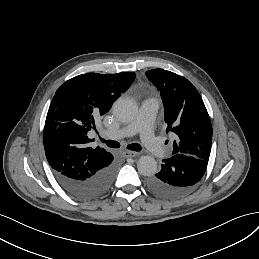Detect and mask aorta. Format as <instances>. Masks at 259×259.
Instances as JSON below:
<instances>
[{"label":"aorta","instance_id":"762f6f07","mask_svg":"<svg viewBox=\"0 0 259 259\" xmlns=\"http://www.w3.org/2000/svg\"><path fill=\"white\" fill-rule=\"evenodd\" d=\"M113 112L120 121L130 122L136 117L138 106L132 98L120 97L114 103ZM137 169L143 176H153L157 171V162L152 156H141Z\"/></svg>","mask_w":259,"mask_h":259}]
</instances>
